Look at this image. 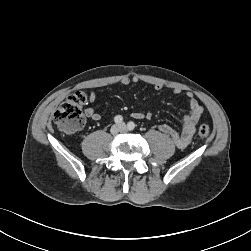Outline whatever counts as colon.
I'll use <instances>...</instances> for the list:
<instances>
[{"instance_id": "1", "label": "colon", "mask_w": 251, "mask_h": 251, "mask_svg": "<svg viewBox=\"0 0 251 251\" xmlns=\"http://www.w3.org/2000/svg\"><path fill=\"white\" fill-rule=\"evenodd\" d=\"M86 101L87 96L84 92L77 91L69 95L55 112V123L67 132L81 129L85 123L82 106ZM198 134L203 139L209 138L211 134L209 126L201 125Z\"/></svg>"}]
</instances>
